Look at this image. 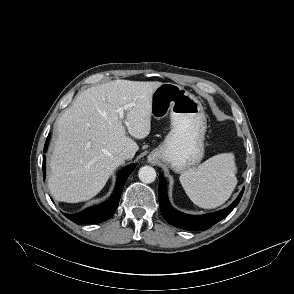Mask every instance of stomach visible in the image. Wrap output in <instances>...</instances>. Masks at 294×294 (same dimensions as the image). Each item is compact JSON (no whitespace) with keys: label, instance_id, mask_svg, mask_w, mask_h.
<instances>
[{"label":"stomach","instance_id":"stomach-1","mask_svg":"<svg viewBox=\"0 0 294 294\" xmlns=\"http://www.w3.org/2000/svg\"><path fill=\"white\" fill-rule=\"evenodd\" d=\"M170 112L171 130L148 160H162L174 172L196 166L204 156L206 117L201 102L183 87L162 83L151 95V115L160 119Z\"/></svg>","mask_w":294,"mask_h":294}]
</instances>
